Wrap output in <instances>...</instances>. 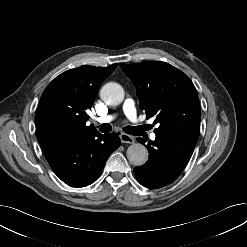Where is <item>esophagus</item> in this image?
Here are the masks:
<instances>
[{
    "instance_id": "1",
    "label": "esophagus",
    "mask_w": 247,
    "mask_h": 247,
    "mask_svg": "<svg viewBox=\"0 0 247 247\" xmlns=\"http://www.w3.org/2000/svg\"><path fill=\"white\" fill-rule=\"evenodd\" d=\"M120 139L122 143H128V144H132L135 142V139L133 136L128 135L126 133H121L120 134Z\"/></svg>"
}]
</instances>
